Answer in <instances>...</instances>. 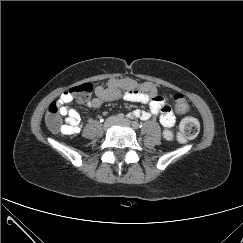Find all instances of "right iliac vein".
I'll list each match as a JSON object with an SVG mask.
<instances>
[{"instance_id": "right-iliac-vein-1", "label": "right iliac vein", "mask_w": 243, "mask_h": 243, "mask_svg": "<svg viewBox=\"0 0 243 243\" xmlns=\"http://www.w3.org/2000/svg\"><path fill=\"white\" fill-rule=\"evenodd\" d=\"M117 122V118L112 116V117H109L105 123H104V129L105 130H108L111 126H113L115 123Z\"/></svg>"}]
</instances>
